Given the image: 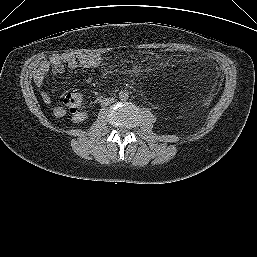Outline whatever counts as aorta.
Returning <instances> with one entry per match:
<instances>
[{
  "label": "aorta",
  "mask_w": 257,
  "mask_h": 257,
  "mask_svg": "<svg viewBox=\"0 0 257 257\" xmlns=\"http://www.w3.org/2000/svg\"><path fill=\"white\" fill-rule=\"evenodd\" d=\"M119 98L121 99V100H127L128 98H129V93L128 92H126V91H121L120 93H119Z\"/></svg>",
  "instance_id": "aorta-1"
}]
</instances>
